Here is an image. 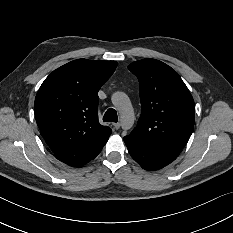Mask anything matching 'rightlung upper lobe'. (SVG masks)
<instances>
[{"label": "right lung upper lobe", "mask_w": 233, "mask_h": 233, "mask_svg": "<svg viewBox=\"0 0 233 233\" xmlns=\"http://www.w3.org/2000/svg\"><path fill=\"white\" fill-rule=\"evenodd\" d=\"M117 62L78 59L53 71L34 104L37 125L56 158L69 166L94 159L111 135L98 121V91Z\"/></svg>", "instance_id": "1"}]
</instances>
